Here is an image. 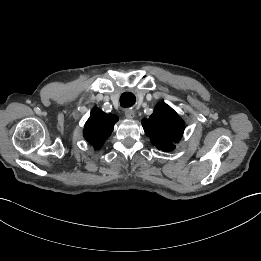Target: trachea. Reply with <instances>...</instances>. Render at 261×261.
Instances as JSON below:
<instances>
[{
	"label": "trachea",
	"instance_id": "3493384b",
	"mask_svg": "<svg viewBox=\"0 0 261 261\" xmlns=\"http://www.w3.org/2000/svg\"><path fill=\"white\" fill-rule=\"evenodd\" d=\"M135 103V95L131 92H125L120 97V105L122 107H131Z\"/></svg>",
	"mask_w": 261,
	"mask_h": 261
}]
</instances>
